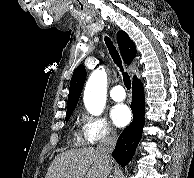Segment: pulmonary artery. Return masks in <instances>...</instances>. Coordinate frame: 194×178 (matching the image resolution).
<instances>
[{"instance_id": "e3ab8cb5", "label": "pulmonary artery", "mask_w": 194, "mask_h": 178, "mask_svg": "<svg viewBox=\"0 0 194 178\" xmlns=\"http://www.w3.org/2000/svg\"><path fill=\"white\" fill-rule=\"evenodd\" d=\"M125 91L121 85H116L110 90V97L117 102L123 101L125 99Z\"/></svg>"}]
</instances>
